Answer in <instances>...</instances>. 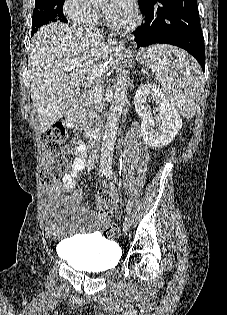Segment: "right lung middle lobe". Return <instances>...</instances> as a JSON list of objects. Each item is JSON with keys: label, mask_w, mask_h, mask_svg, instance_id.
<instances>
[{"label": "right lung middle lobe", "mask_w": 227, "mask_h": 315, "mask_svg": "<svg viewBox=\"0 0 227 315\" xmlns=\"http://www.w3.org/2000/svg\"><path fill=\"white\" fill-rule=\"evenodd\" d=\"M65 0H35V9L32 18V33L35 29L51 22H68L63 14V4Z\"/></svg>", "instance_id": "1"}]
</instances>
